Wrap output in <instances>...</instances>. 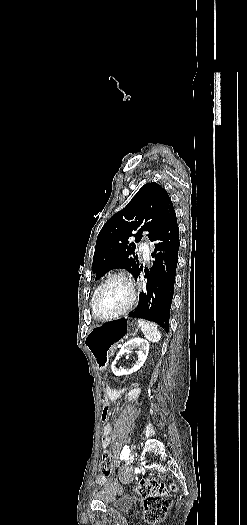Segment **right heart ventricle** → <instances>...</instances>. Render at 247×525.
Masks as SVG:
<instances>
[{
    "instance_id": "e07e8e85",
    "label": "right heart ventricle",
    "mask_w": 247,
    "mask_h": 525,
    "mask_svg": "<svg viewBox=\"0 0 247 525\" xmlns=\"http://www.w3.org/2000/svg\"><path fill=\"white\" fill-rule=\"evenodd\" d=\"M90 306H91V300H90ZM95 317L97 316L93 313V318L95 319ZM147 324H151V323H147Z\"/></svg>"
}]
</instances>
